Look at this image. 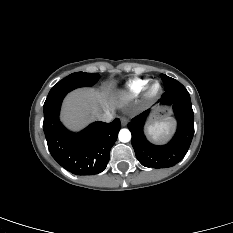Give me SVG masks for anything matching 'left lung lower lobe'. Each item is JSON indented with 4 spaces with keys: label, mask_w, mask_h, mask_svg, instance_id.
<instances>
[{
    "label": "left lung lower lobe",
    "mask_w": 233,
    "mask_h": 233,
    "mask_svg": "<svg viewBox=\"0 0 233 233\" xmlns=\"http://www.w3.org/2000/svg\"><path fill=\"white\" fill-rule=\"evenodd\" d=\"M159 103L172 105L178 123L177 132L168 144L157 146L146 139L143 126L149 110L134 117L128 124L137 159L143 166L156 169L171 167L178 163L186 155L194 134L191 99L180 82L166 89Z\"/></svg>",
    "instance_id": "left-lung-lower-lobe-1"
}]
</instances>
